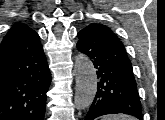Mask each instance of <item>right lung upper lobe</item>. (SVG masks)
<instances>
[{
	"mask_svg": "<svg viewBox=\"0 0 165 120\" xmlns=\"http://www.w3.org/2000/svg\"><path fill=\"white\" fill-rule=\"evenodd\" d=\"M34 31L22 23L15 24L4 37L1 45L23 38Z\"/></svg>",
	"mask_w": 165,
	"mask_h": 120,
	"instance_id": "1",
	"label": "right lung upper lobe"
}]
</instances>
